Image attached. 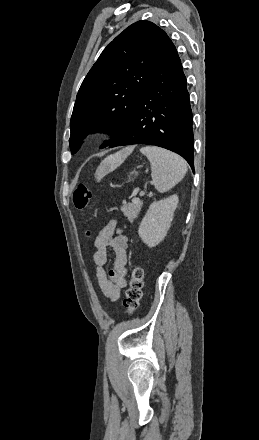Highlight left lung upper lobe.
<instances>
[{"instance_id":"5c2ea615","label":"left lung upper lobe","mask_w":259,"mask_h":440,"mask_svg":"<svg viewBox=\"0 0 259 440\" xmlns=\"http://www.w3.org/2000/svg\"><path fill=\"white\" fill-rule=\"evenodd\" d=\"M169 37L141 20L126 28L101 53L78 91L70 120L71 153L89 133L121 134L144 93Z\"/></svg>"}]
</instances>
